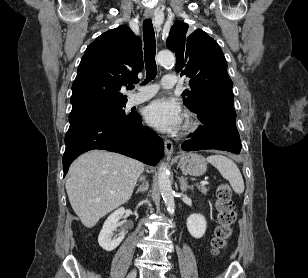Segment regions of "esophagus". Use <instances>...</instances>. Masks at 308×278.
I'll return each instance as SVG.
<instances>
[{"label": "esophagus", "mask_w": 308, "mask_h": 278, "mask_svg": "<svg viewBox=\"0 0 308 278\" xmlns=\"http://www.w3.org/2000/svg\"><path fill=\"white\" fill-rule=\"evenodd\" d=\"M145 17L146 18H152L153 12L151 10L145 11ZM164 146H165V155L168 159L172 157L173 154V143L169 139L164 140Z\"/></svg>", "instance_id": "esophagus-1"}]
</instances>
